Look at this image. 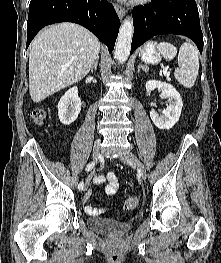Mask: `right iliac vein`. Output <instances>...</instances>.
Wrapping results in <instances>:
<instances>
[{
    "instance_id": "1",
    "label": "right iliac vein",
    "mask_w": 221,
    "mask_h": 263,
    "mask_svg": "<svg viewBox=\"0 0 221 263\" xmlns=\"http://www.w3.org/2000/svg\"><path fill=\"white\" fill-rule=\"evenodd\" d=\"M99 155H100V140L98 139L95 141L92 151V160L94 163L98 161ZM89 183H90V178L87 179L84 190H87Z\"/></svg>"
}]
</instances>
